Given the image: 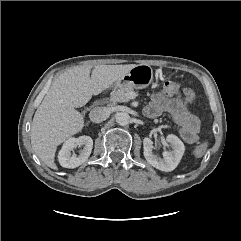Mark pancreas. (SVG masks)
I'll return each mask as SVG.
<instances>
[{"label": "pancreas", "mask_w": 241, "mask_h": 241, "mask_svg": "<svg viewBox=\"0 0 241 241\" xmlns=\"http://www.w3.org/2000/svg\"><path fill=\"white\" fill-rule=\"evenodd\" d=\"M133 91L132 86L122 87L111 94V100L113 102H128L129 94Z\"/></svg>", "instance_id": "obj_1"}]
</instances>
